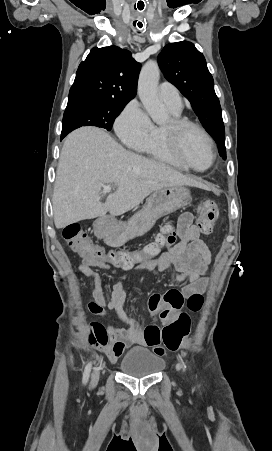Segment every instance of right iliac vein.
Masks as SVG:
<instances>
[{
  "label": "right iliac vein",
  "instance_id": "right-iliac-vein-1",
  "mask_svg": "<svg viewBox=\"0 0 272 451\" xmlns=\"http://www.w3.org/2000/svg\"><path fill=\"white\" fill-rule=\"evenodd\" d=\"M99 370L98 369H96V370H94V372H93V374H92V377H91V386L92 387H94L97 383H98V380H99Z\"/></svg>",
  "mask_w": 272,
  "mask_h": 451
}]
</instances>
